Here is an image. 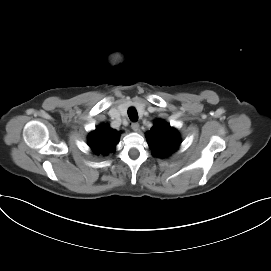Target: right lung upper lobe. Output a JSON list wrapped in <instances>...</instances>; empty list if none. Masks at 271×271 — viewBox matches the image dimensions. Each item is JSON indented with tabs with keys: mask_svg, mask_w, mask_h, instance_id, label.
Here are the masks:
<instances>
[{
	"mask_svg": "<svg viewBox=\"0 0 271 271\" xmlns=\"http://www.w3.org/2000/svg\"><path fill=\"white\" fill-rule=\"evenodd\" d=\"M120 138V133L111 129L109 125L104 124L91 132L88 137L89 146L97 155H107L116 149V144Z\"/></svg>",
	"mask_w": 271,
	"mask_h": 271,
	"instance_id": "right-lung-upper-lobe-1",
	"label": "right lung upper lobe"
}]
</instances>
